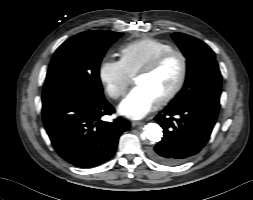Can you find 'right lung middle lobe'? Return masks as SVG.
Segmentation results:
<instances>
[{
    "label": "right lung middle lobe",
    "mask_w": 253,
    "mask_h": 200,
    "mask_svg": "<svg viewBox=\"0 0 253 200\" xmlns=\"http://www.w3.org/2000/svg\"><path fill=\"white\" fill-rule=\"evenodd\" d=\"M122 33L87 31L66 40L50 62L43 97L70 95L102 99L99 67L106 50Z\"/></svg>",
    "instance_id": "right-lung-middle-lobe-1"
}]
</instances>
